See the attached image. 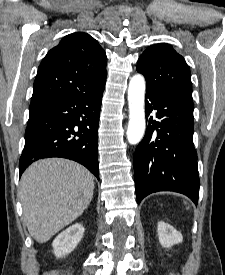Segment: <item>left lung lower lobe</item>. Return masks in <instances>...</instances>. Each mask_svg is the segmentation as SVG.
I'll list each match as a JSON object with an SVG mask.
<instances>
[{
  "mask_svg": "<svg viewBox=\"0 0 225 275\" xmlns=\"http://www.w3.org/2000/svg\"><path fill=\"white\" fill-rule=\"evenodd\" d=\"M145 109L148 128L133 159L137 203L153 192L175 191L197 205L200 181L193 144L194 108L146 87ZM153 110L157 120L149 116Z\"/></svg>",
  "mask_w": 225,
  "mask_h": 275,
  "instance_id": "0a47b994",
  "label": "left lung lower lobe"
}]
</instances>
